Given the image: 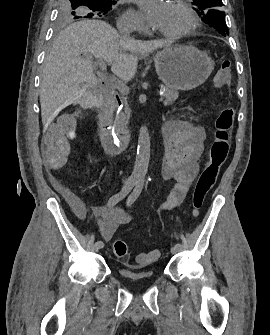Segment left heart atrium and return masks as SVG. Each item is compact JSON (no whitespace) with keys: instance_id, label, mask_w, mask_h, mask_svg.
Listing matches in <instances>:
<instances>
[{"instance_id":"39dd6f15","label":"left heart atrium","mask_w":270,"mask_h":335,"mask_svg":"<svg viewBox=\"0 0 270 335\" xmlns=\"http://www.w3.org/2000/svg\"><path fill=\"white\" fill-rule=\"evenodd\" d=\"M139 7L152 29L151 35L170 33V22L174 8L163 1L139 0Z\"/></svg>"}]
</instances>
